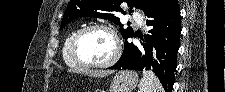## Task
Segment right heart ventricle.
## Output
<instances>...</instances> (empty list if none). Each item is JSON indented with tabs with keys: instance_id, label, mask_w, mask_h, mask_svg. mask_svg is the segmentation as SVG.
<instances>
[{
	"instance_id": "1",
	"label": "right heart ventricle",
	"mask_w": 225,
	"mask_h": 92,
	"mask_svg": "<svg viewBox=\"0 0 225 92\" xmlns=\"http://www.w3.org/2000/svg\"><path fill=\"white\" fill-rule=\"evenodd\" d=\"M78 30H79V28H74L67 33V35L65 36L64 42H63V47H62L63 61L65 62L66 65H68L70 67H74V68L77 67V65L74 63V61L72 60V57L70 55L69 44H70L72 37Z\"/></svg>"
}]
</instances>
